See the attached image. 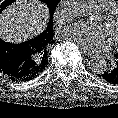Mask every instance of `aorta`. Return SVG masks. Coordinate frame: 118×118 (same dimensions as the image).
<instances>
[{"label": "aorta", "mask_w": 118, "mask_h": 118, "mask_svg": "<svg viewBox=\"0 0 118 118\" xmlns=\"http://www.w3.org/2000/svg\"><path fill=\"white\" fill-rule=\"evenodd\" d=\"M70 12L73 17L82 21H89L91 18V10L86 0H74ZM89 65L95 73H103L107 69V62L101 56L94 57Z\"/></svg>", "instance_id": "aorta-1"}]
</instances>
